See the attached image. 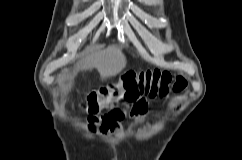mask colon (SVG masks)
Listing matches in <instances>:
<instances>
[{"instance_id":"obj_1","label":"colon","mask_w":242,"mask_h":160,"mask_svg":"<svg viewBox=\"0 0 242 160\" xmlns=\"http://www.w3.org/2000/svg\"><path fill=\"white\" fill-rule=\"evenodd\" d=\"M187 85L181 75H174L167 70L152 69L140 73L126 72L118 81L108 83L98 89L91 90L82 102L89 113L88 127L94 131L103 121H115L120 117L118 105L125 103L132 116H143L147 105L143 98L164 96L171 91L180 92ZM143 101L134 107V105ZM105 112L99 118L98 114Z\"/></svg>"}]
</instances>
